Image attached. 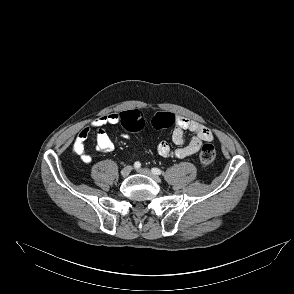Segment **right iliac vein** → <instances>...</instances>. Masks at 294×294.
Listing matches in <instances>:
<instances>
[{
	"label": "right iliac vein",
	"instance_id": "right-iliac-vein-1",
	"mask_svg": "<svg viewBox=\"0 0 294 294\" xmlns=\"http://www.w3.org/2000/svg\"><path fill=\"white\" fill-rule=\"evenodd\" d=\"M132 170V167L131 166H125L122 170H121V176L122 177H127L130 172Z\"/></svg>",
	"mask_w": 294,
	"mask_h": 294
}]
</instances>
